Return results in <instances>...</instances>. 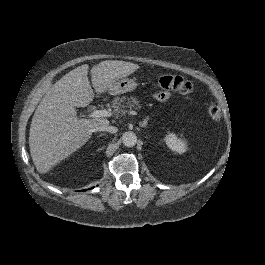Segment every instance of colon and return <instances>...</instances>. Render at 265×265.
Wrapping results in <instances>:
<instances>
[{
  "label": "colon",
  "instance_id": "obj_1",
  "mask_svg": "<svg viewBox=\"0 0 265 265\" xmlns=\"http://www.w3.org/2000/svg\"><path fill=\"white\" fill-rule=\"evenodd\" d=\"M158 85L165 90L177 91L184 95L192 92V84L180 76L162 75L158 78ZM209 118L213 121H219L222 115V109L219 104L213 103L208 109Z\"/></svg>",
  "mask_w": 265,
  "mask_h": 265
}]
</instances>
